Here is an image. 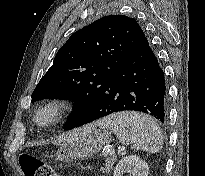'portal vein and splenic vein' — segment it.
Masks as SVG:
<instances>
[{
  "instance_id": "obj_1",
  "label": "portal vein and splenic vein",
  "mask_w": 205,
  "mask_h": 176,
  "mask_svg": "<svg viewBox=\"0 0 205 176\" xmlns=\"http://www.w3.org/2000/svg\"><path fill=\"white\" fill-rule=\"evenodd\" d=\"M109 155H115V149L114 148L109 151Z\"/></svg>"
}]
</instances>
